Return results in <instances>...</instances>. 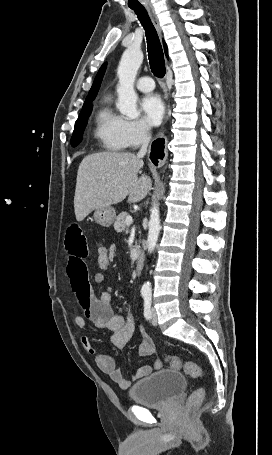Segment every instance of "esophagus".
Masks as SVG:
<instances>
[{"mask_svg":"<svg viewBox=\"0 0 272 455\" xmlns=\"http://www.w3.org/2000/svg\"><path fill=\"white\" fill-rule=\"evenodd\" d=\"M150 17L152 18L153 20V23L156 27V29L158 30V32H161L160 30V26H159V23H158V20H157V17L155 15V12H154V9H153V6L151 4H146L145 5ZM169 114V112H168ZM161 137H163V133L161 132L157 139L152 143V146H151V156H150V162H151V165L155 168L157 167H160L161 165H163L167 159V151L165 150V156H164V139H160Z\"/></svg>","mask_w":272,"mask_h":455,"instance_id":"1","label":"esophagus"}]
</instances>
